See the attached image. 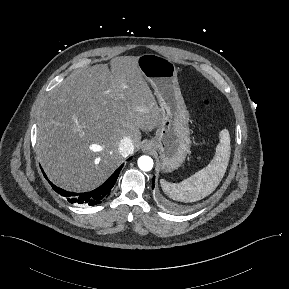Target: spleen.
<instances>
[{"instance_id":"spleen-1","label":"spleen","mask_w":289,"mask_h":289,"mask_svg":"<svg viewBox=\"0 0 289 289\" xmlns=\"http://www.w3.org/2000/svg\"><path fill=\"white\" fill-rule=\"evenodd\" d=\"M230 136L228 130L220 132V143L212 161L203 169L182 182L169 183L160 180L161 187L170 198L182 202H195L211 194L222 180L230 158Z\"/></svg>"}]
</instances>
